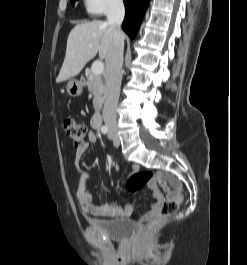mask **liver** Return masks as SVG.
Listing matches in <instances>:
<instances>
[{"label":"liver","instance_id":"obj_1","mask_svg":"<svg viewBox=\"0 0 247 265\" xmlns=\"http://www.w3.org/2000/svg\"><path fill=\"white\" fill-rule=\"evenodd\" d=\"M113 38L114 28L106 21L77 24L68 36L65 59L56 81H66L78 75L98 52L100 59H104Z\"/></svg>","mask_w":247,"mask_h":265}]
</instances>
